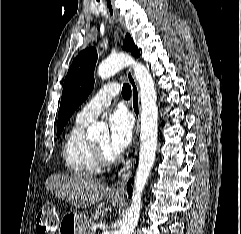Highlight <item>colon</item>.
<instances>
[{"mask_svg":"<svg viewBox=\"0 0 241 234\" xmlns=\"http://www.w3.org/2000/svg\"><path fill=\"white\" fill-rule=\"evenodd\" d=\"M59 227V218L52 205H44L37 215L36 231L38 234H54Z\"/></svg>","mask_w":241,"mask_h":234,"instance_id":"obj_1","label":"colon"}]
</instances>
